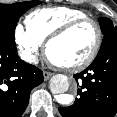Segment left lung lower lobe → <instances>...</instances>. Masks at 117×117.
<instances>
[{
	"instance_id": "left-lung-lower-lobe-1",
	"label": "left lung lower lobe",
	"mask_w": 117,
	"mask_h": 117,
	"mask_svg": "<svg viewBox=\"0 0 117 117\" xmlns=\"http://www.w3.org/2000/svg\"><path fill=\"white\" fill-rule=\"evenodd\" d=\"M74 78L78 98L59 107L63 117H114L117 112V39L99 51L92 64Z\"/></svg>"
}]
</instances>
